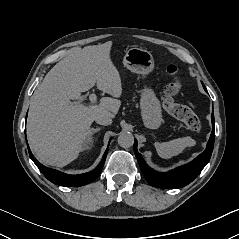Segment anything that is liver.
I'll return each instance as SVG.
<instances>
[{"label": "liver", "instance_id": "liver-1", "mask_svg": "<svg viewBox=\"0 0 239 239\" xmlns=\"http://www.w3.org/2000/svg\"><path fill=\"white\" fill-rule=\"evenodd\" d=\"M112 42L75 48L59 61L38 86L29 110L27 135L37 158L44 164L64 167L75 160L90 135L94 117L118 113L122 84L110 52ZM97 88L114 98L103 97L98 105L73 102L81 92Z\"/></svg>", "mask_w": 239, "mask_h": 239}]
</instances>
